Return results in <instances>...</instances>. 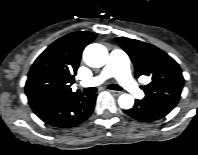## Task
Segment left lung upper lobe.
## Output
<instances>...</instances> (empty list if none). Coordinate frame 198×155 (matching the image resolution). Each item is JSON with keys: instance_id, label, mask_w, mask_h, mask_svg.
Segmentation results:
<instances>
[{"instance_id": "left-lung-upper-lobe-1", "label": "left lung upper lobe", "mask_w": 198, "mask_h": 155, "mask_svg": "<svg viewBox=\"0 0 198 155\" xmlns=\"http://www.w3.org/2000/svg\"><path fill=\"white\" fill-rule=\"evenodd\" d=\"M135 65L136 77L149 76L151 82L142 87L146 101H163L177 104L184 78L177 62L157 47L129 38H115Z\"/></svg>"}]
</instances>
